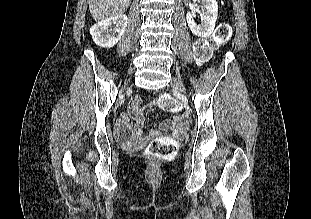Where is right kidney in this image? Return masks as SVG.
Masks as SVG:
<instances>
[{"mask_svg":"<svg viewBox=\"0 0 311 219\" xmlns=\"http://www.w3.org/2000/svg\"><path fill=\"white\" fill-rule=\"evenodd\" d=\"M126 25L127 16L117 15L92 26L90 34L96 45L104 48H111L121 39L125 32Z\"/></svg>","mask_w":311,"mask_h":219,"instance_id":"1","label":"right kidney"}]
</instances>
